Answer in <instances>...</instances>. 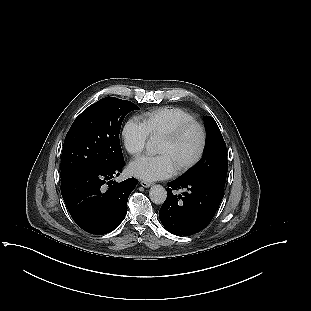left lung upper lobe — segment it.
Instances as JSON below:
<instances>
[{
    "instance_id": "1",
    "label": "left lung upper lobe",
    "mask_w": 311,
    "mask_h": 311,
    "mask_svg": "<svg viewBox=\"0 0 311 311\" xmlns=\"http://www.w3.org/2000/svg\"><path fill=\"white\" fill-rule=\"evenodd\" d=\"M206 144L201 160L187 173L183 180H207L224 188L228 163L226 144L220 129L211 116H204Z\"/></svg>"
}]
</instances>
